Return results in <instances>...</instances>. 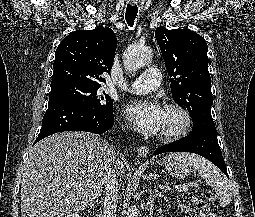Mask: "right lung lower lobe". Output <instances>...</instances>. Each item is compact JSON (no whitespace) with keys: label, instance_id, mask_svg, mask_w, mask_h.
<instances>
[{"label":"right lung lower lobe","instance_id":"1","mask_svg":"<svg viewBox=\"0 0 255 217\" xmlns=\"http://www.w3.org/2000/svg\"><path fill=\"white\" fill-rule=\"evenodd\" d=\"M113 122V111H99L67 99L51 100L42 120V129L34 144L62 131L102 134L112 128Z\"/></svg>","mask_w":255,"mask_h":217}]
</instances>
